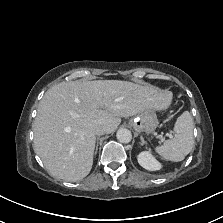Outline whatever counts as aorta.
Returning <instances> with one entry per match:
<instances>
[{"label":"aorta","mask_w":223,"mask_h":223,"mask_svg":"<svg viewBox=\"0 0 223 223\" xmlns=\"http://www.w3.org/2000/svg\"><path fill=\"white\" fill-rule=\"evenodd\" d=\"M117 140L121 143H129L132 140L131 131L126 128H121L116 133Z\"/></svg>","instance_id":"762f6f07"}]
</instances>
